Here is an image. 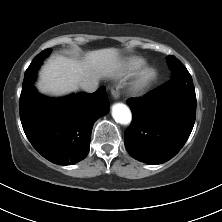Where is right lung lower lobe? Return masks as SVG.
Segmentation results:
<instances>
[{
	"label": "right lung lower lobe",
	"instance_id": "1",
	"mask_svg": "<svg viewBox=\"0 0 222 222\" xmlns=\"http://www.w3.org/2000/svg\"><path fill=\"white\" fill-rule=\"evenodd\" d=\"M109 106L103 86L94 93L51 99L29 84L22 88L20 119L28 140L44 158L72 165L87 156L93 124Z\"/></svg>",
	"mask_w": 222,
	"mask_h": 222
}]
</instances>
